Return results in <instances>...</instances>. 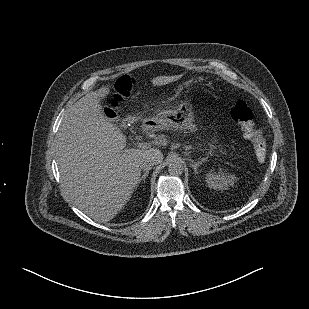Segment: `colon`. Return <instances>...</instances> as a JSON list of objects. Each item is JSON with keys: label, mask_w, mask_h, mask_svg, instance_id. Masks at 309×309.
I'll return each mask as SVG.
<instances>
[{"label": "colon", "mask_w": 309, "mask_h": 309, "mask_svg": "<svg viewBox=\"0 0 309 309\" xmlns=\"http://www.w3.org/2000/svg\"><path fill=\"white\" fill-rule=\"evenodd\" d=\"M133 86L132 77L124 75L118 78L113 85L107 111L114 112L130 95ZM231 118L239 124L245 137L253 143L257 158L264 160L267 154L266 141L262 132L255 126L253 112L247 103L242 100L237 101L231 110Z\"/></svg>", "instance_id": "1"}]
</instances>
